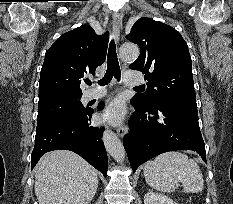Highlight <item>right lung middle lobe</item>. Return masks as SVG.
<instances>
[{
  "instance_id": "dd1d6c3e",
  "label": "right lung middle lobe",
  "mask_w": 233,
  "mask_h": 204,
  "mask_svg": "<svg viewBox=\"0 0 233 204\" xmlns=\"http://www.w3.org/2000/svg\"><path fill=\"white\" fill-rule=\"evenodd\" d=\"M80 99L81 96H63L39 102L36 132L87 110Z\"/></svg>"
}]
</instances>
